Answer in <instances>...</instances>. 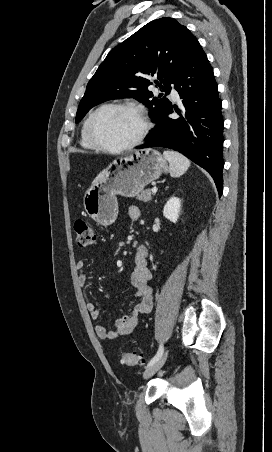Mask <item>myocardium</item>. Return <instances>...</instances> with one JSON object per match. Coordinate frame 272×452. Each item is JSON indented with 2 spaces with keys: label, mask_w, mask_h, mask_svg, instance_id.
I'll return each instance as SVG.
<instances>
[{
  "label": "myocardium",
  "mask_w": 272,
  "mask_h": 452,
  "mask_svg": "<svg viewBox=\"0 0 272 452\" xmlns=\"http://www.w3.org/2000/svg\"><path fill=\"white\" fill-rule=\"evenodd\" d=\"M107 109L126 110L138 118V120L140 121V124H141V128H140L138 135L130 143L123 145V146L112 147V146H109V145L103 143L96 136V134L94 133V130H93L94 120L101 112H103ZM149 128H150V123H149L148 118L144 114V112L140 108H138L132 104H128V103H106V104L99 106L97 109H95L89 115V117L87 118V121H86V125H85V131H86L87 138L92 143V145L99 150L109 152V153H114V154L123 153V152L129 151V150H132L135 147H137L138 145H140L143 142V140L145 139V137L147 136Z\"/></svg>",
  "instance_id": "f54148a6"
}]
</instances>
